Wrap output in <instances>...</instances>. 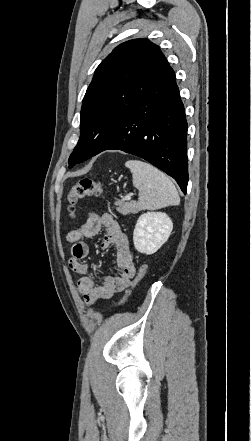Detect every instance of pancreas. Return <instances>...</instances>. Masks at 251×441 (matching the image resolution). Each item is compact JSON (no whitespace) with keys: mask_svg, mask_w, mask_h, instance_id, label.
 <instances>
[{"mask_svg":"<svg viewBox=\"0 0 251 441\" xmlns=\"http://www.w3.org/2000/svg\"><path fill=\"white\" fill-rule=\"evenodd\" d=\"M115 205L118 206L117 211L123 215H127L130 213L136 214L143 209L142 206L135 201L124 202L123 200H118L115 202Z\"/></svg>","mask_w":251,"mask_h":441,"instance_id":"obj_1","label":"pancreas"}]
</instances>
